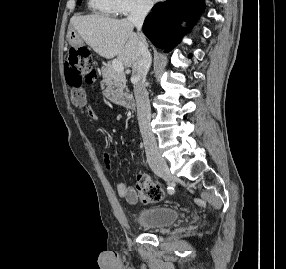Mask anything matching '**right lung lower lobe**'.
Returning a JSON list of instances; mask_svg holds the SVG:
<instances>
[{
    "mask_svg": "<svg viewBox=\"0 0 286 269\" xmlns=\"http://www.w3.org/2000/svg\"><path fill=\"white\" fill-rule=\"evenodd\" d=\"M205 7L204 0H166L152 8L143 24L144 34L158 48L171 51L181 40L182 19L193 25Z\"/></svg>",
    "mask_w": 286,
    "mask_h": 269,
    "instance_id": "right-lung-lower-lobe-1",
    "label": "right lung lower lobe"
}]
</instances>
